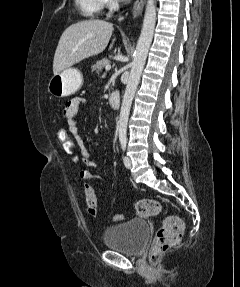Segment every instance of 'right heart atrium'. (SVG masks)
<instances>
[{"instance_id":"right-heart-atrium-1","label":"right heart atrium","mask_w":240,"mask_h":287,"mask_svg":"<svg viewBox=\"0 0 240 287\" xmlns=\"http://www.w3.org/2000/svg\"><path fill=\"white\" fill-rule=\"evenodd\" d=\"M103 1V5L106 7H112L114 4V0H102Z\"/></svg>"}]
</instances>
